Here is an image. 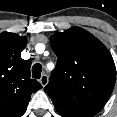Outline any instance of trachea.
Here are the masks:
<instances>
[{
	"label": "trachea",
	"instance_id": "3493384b",
	"mask_svg": "<svg viewBox=\"0 0 117 117\" xmlns=\"http://www.w3.org/2000/svg\"><path fill=\"white\" fill-rule=\"evenodd\" d=\"M42 67L40 64H34L32 67V77L39 79L41 76Z\"/></svg>",
	"mask_w": 117,
	"mask_h": 117
}]
</instances>
